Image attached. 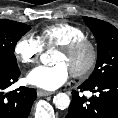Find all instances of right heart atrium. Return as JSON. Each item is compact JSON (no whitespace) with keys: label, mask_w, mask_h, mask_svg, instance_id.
Wrapping results in <instances>:
<instances>
[{"label":"right heart atrium","mask_w":118,"mask_h":118,"mask_svg":"<svg viewBox=\"0 0 118 118\" xmlns=\"http://www.w3.org/2000/svg\"><path fill=\"white\" fill-rule=\"evenodd\" d=\"M42 51L43 46L39 39L31 33L22 35L14 46L15 58L25 65L36 63L39 60Z\"/></svg>","instance_id":"d8ad5b80"}]
</instances>
